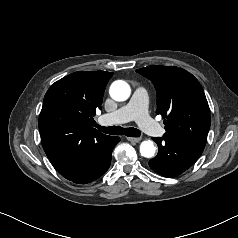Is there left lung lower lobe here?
<instances>
[{"instance_id":"obj_1","label":"left lung lower lobe","mask_w":238,"mask_h":238,"mask_svg":"<svg viewBox=\"0 0 238 238\" xmlns=\"http://www.w3.org/2000/svg\"><path fill=\"white\" fill-rule=\"evenodd\" d=\"M158 145V154L149 161L156 173L173 178L190 168L200 157L204 148L170 137H153Z\"/></svg>"}]
</instances>
